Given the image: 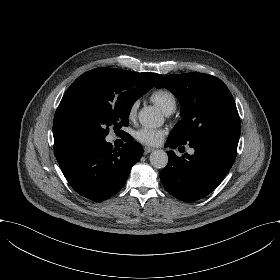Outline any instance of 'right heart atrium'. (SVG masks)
I'll list each match as a JSON object with an SVG mask.
<instances>
[{
  "label": "right heart atrium",
  "instance_id": "d8ad5b80",
  "mask_svg": "<svg viewBox=\"0 0 280 280\" xmlns=\"http://www.w3.org/2000/svg\"><path fill=\"white\" fill-rule=\"evenodd\" d=\"M136 112H137V103L136 102H133L129 108H128V111H127V117L129 120H133L136 116Z\"/></svg>",
  "mask_w": 280,
  "mask_h": 280
}]
</instances>
